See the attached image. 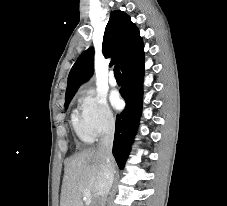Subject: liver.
I'll list each match as a JSON object with an SVG mask.
<instances>
[{
  "label": "liver",
  "instance_id": "obj_1",
  "mask_svg": "<svg viewBox=\"0 0 227 206\" xmlns=\"http://www.w3.org/2000/svg\"><path fill=\"white\" fill-rule=\"evenodd\" d=\"M102 164L98 148L86 149L67 164L62 183L60 206H84L83 190L91 193V206H96V182Z\"/></svg>",
  "mask_w": 227,
  "mask_h": 206
}]
</instances>
